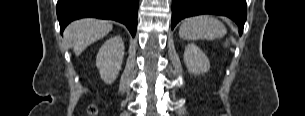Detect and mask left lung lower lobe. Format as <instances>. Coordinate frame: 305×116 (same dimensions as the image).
I'll return each instance as SVG.
<instances>
[{"mask_svg":"<svg viewBox=\"0 0 305 116\" xmlns=\"http://www.w3.org/2000/svg\"><path fill=\"white\" fill-rule=\"evenodd\" d=\"M199 14H217L231 18L242 34L247 16L246 0H172V25Z\"/></svg>","mask_w":305,"mask_h":116,"instance_id":"obj_1","label":"left lung lower lobe"}]
</instances>
